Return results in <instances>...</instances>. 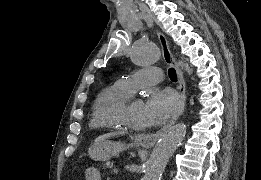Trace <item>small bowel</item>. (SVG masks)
Listing matches in <instances>:
<instances>
[{
  "label": "small bowel",
  "instance_id": "obj_1",
  "mask_svg": "<svg viewBox=\"0 0 261 180\" xmlns=\"http://www.w3.org/2000/svg\"><path fill=\"white\" fill-rule=\"evenodd\" d=\"M86 180H100V173L95 167H88L85 171Z\"/></svg>",
  "mask_w": 261,
  "mask_h": 180
}]
</instances>
